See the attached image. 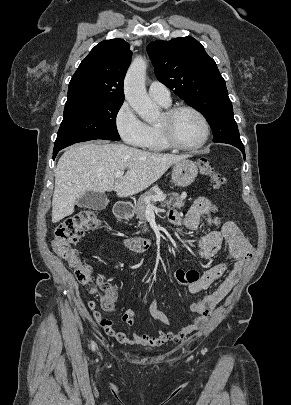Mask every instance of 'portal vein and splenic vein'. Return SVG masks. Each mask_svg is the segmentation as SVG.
I'll list each match as a JSON object with an SVG mask.
<instances>
[{
	"label": "portal vein and splenic vein",
	"mask_w": 291,
	"mask_h": 405,
	"mask_svg": "<svg viewBox=\"0 0 291 405\" xmlns=\"http://www.w3.org/2000/svg\"><path fill=\"white\" fill-rule=\"evenodd\" d=\"M124 175V171H119L115 174V178H121ZM166 198L165 195H154L151 198H146V203L148 206H151L150 199L154 201H163Z\"/></svg>",
	"instance_id": "obj_1"
}]
</instances>
